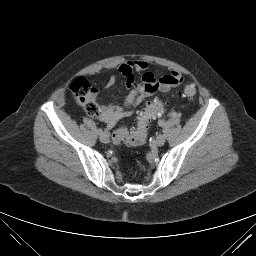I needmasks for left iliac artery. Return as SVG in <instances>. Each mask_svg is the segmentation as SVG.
I'll list each match as a JSON object with an SVG mask.
<instances>
[{
    "label": "left iliac artery",
    "instance_id": "left-iliac-artery-1",
    "mask_svg": "<svg viewBox=\"0 0 256 256\" xmlns=\"http://www.w3.org/2000/svg\"><path fill=\"white\" fill-rule=\"evenodd\" d=\"M158 124H159V126H163L164 125V121L163 120H159Z\"/></svg>",
    "mask_w": 256,
    "mask_h": 256
}]
</instances>
